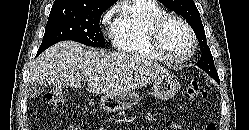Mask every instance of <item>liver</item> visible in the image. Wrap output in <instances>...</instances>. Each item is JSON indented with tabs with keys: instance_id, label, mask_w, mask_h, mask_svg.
I'll list each match as a JSON object with an SVG mask.
<instances>
[{
	"instance_id": "liver-1",
	"label": "liver",
	"mask_w": 249,
	"mask_h": 130,
	"mask_svg": "<svg viewBox=\"0 0 249 130\" xmlns=\"http://www.w3.org/2000/svg\"><path fill=\"white\" fill-rule=\"evenodd\" d=\"M169 75L152 60L119 52L85 48L74 41L59 42L44 51L30 71L31 85H64L94 94H120L141 88L148 82Z\"/></svg>"
}]
</instances>
